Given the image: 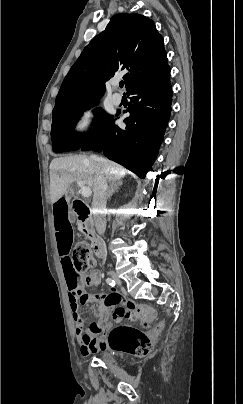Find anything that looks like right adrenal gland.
I'll return each instance as SVG.
<instances>
[{"instance_id": "1", "label": "right adrenal gland", "mask_w": 243, "mask_h": 404, "mask_svg": "<svg viewBox=\"0 0 243 404\" xmlns=\"http://www.w3.org/2000/svg\"><path fill=\"white\" fill-rule=\"evenodd\" d=\"M123 182L121 180H116V182H111L108 190H107V198H111L114 192H118L119 186H122Z\"/></svg>"}]
</instances>
